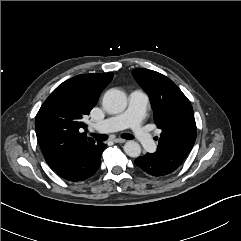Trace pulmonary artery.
<instances>
[{"label":"pulmonary artery","mask_w":241,"mask_h":241,"mask_svg":"<svg viewBox=\"0 0 241 241\" xmlns=\"http://www.w3.org/2000/svg\"><path fill=\"white\" fill-rule=\"evenodd\" d=\"M148 101V95L143 90H134L129 96V105L124 113L99 122L95 128L104 132H111L128 127L143 148L153 150L155 148V141L142 125Z\"/></svg>","instance_id":"1"}]
</instances>
